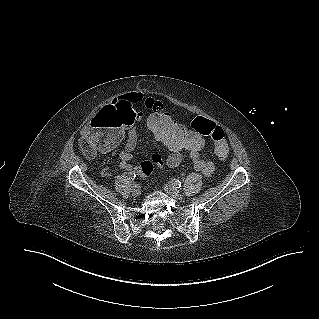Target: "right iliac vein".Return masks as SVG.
<instances>
[{
	"instance_id": "right-iliac-vein-1",
	"label": "right iliac vein",
	"mask_w": 319,
	"mask_h": 319,
	"mask_svg": "<svg viewBox=\"0 0 319 319\" xmlns=\"http://www.w3.org/2000/svg\"><path fill=\"white\" fill-rule=\"evenodd\" d=\"M141 194V188L138 184H135L132 188V195L137 197Z\"/></svg>"
}]
</instances>
